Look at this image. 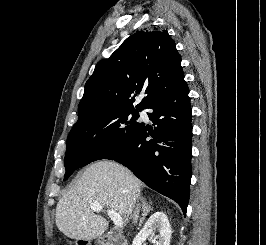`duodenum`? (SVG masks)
Here are the masks:
<instances>
[{
	"instance_id": "410a0bca",
	"label": "duodenum",
	"mask_w": 266,
	"mask_h": 245,
	"mask_svg": "<svg viewBox=\"0 0 266 245\" xmlns=\"http://www.w3.org/2000/svg\"><path fill=\"white\" fill-rule=\"evenodd\" d=\"M80 245H88L86 237H79ZM93 245H100L99 237H92ZM101 245H126V242L118 234L109 233L108 237L105 238Z\"/></svg>"
}]
</instances>
